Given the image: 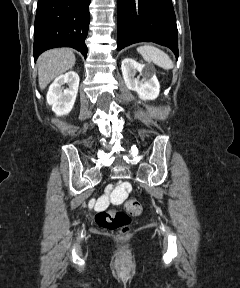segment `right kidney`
Instances as JSON below:
<instances>
[{"label": "right kidney", "mask_w": 240, "mask_h": 288, "mask_svg": "<svg viewBox=\"0 0 240 288\" xmlns=\"http://www.w3.org/2000/svg\"><path fill=\"white\" fill-rule=\"evenodd\" d=\"M67 84L68 88L64 89ZM79 87V76L69 71L57 77L47 92V103L58 116L67 115L73 108Z\"/></svg>", "instance_id": "ca27d5eb"}]
</instances>
